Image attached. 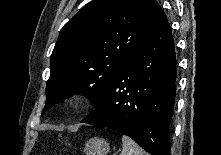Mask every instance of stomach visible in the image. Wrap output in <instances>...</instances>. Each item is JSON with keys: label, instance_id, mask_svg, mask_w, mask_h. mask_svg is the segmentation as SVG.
I'll list each match as a JSON object with an SVG mask.
<instances>
[{"label": "stomach", "instance_id": "obj_1", "mask_svg": "<svg viewBox=\"0 0 221 155\" xmlns=\"http://www.w3.org/2000/svg\"><path fill=\"white\" fill-rule=\"evenodd\" d=\"M109 150V143L102 138H91L84 148L86 155H107Z\"/></svg>", "mask_w": 221, "mask_h": 155}]
</instances>
